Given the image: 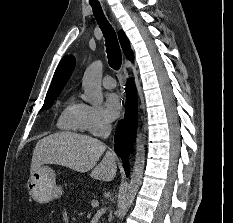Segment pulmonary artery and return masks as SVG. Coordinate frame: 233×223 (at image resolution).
<instances>
[{
    "mask_svg": "<svg viewBox=\"0 0 233 223\" xmlns=\"http://www.w3.org/2000/svg\"><path fill=\"white\" fill-rule=\"evenodd\" d=\"M103 84L105 88L112 89L115 86V80L112 77L107 76L103 79Z\"/></svg>",
    "mask_w": 233,
    "mask_h": 223,
    "instance_id": "obj_1",
    "label": "pulmonary artery"
}]
</instances>
